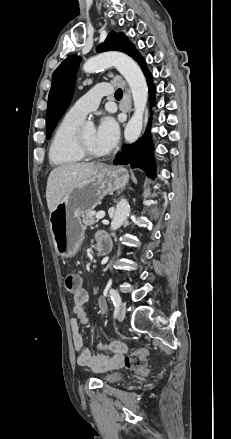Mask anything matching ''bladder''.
I'll list each match as a JSON object with an SVG mask.
<instances>
[{
	"label": "bladder",
	"mask_w": 231,
	"mask_h": 439,
	"mask_svg": "<svg viewBox=\"0 0 231 439\" xmlns=\"http://www.w3.org/2000/svg\"><path fill=\"white\" fill-rule=\"evenodd\" d=\"M123 374L118 371H113L103 376V381L108 384H115L123 379Z\"/></svg>",
	"instance_id": "obj_1"
}]
</instances>
